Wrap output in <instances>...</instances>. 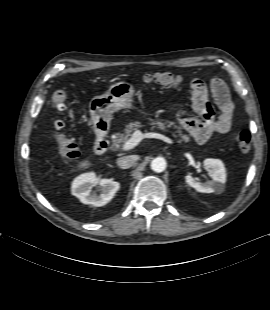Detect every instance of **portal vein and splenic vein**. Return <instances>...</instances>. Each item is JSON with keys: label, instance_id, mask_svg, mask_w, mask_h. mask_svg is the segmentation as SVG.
Segmentation results:
<instances>
[{"label": "portal vein and splenic vein", "instance_id": "1", "mask_svg": "<svg viewBox=\"0 0 270 310\" xmlns=\"http://www.w3.org/2000/svg\"><path fill=\"white\" fill-rule=\"evenodd\" d=\"M144 138H157V139H161L169 144H172L173 141L162 135V134H159V133H154V132H150V133H142L141 131L139 130H136L133 134H132V137L122 146V150L123 151H128L130 149H133L135 146H137L142 139Z\"/></svg>", "mask_w": 270, "mask_h": 310}]
</instances>
